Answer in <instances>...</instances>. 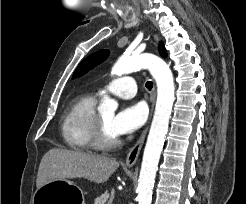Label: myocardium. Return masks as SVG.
<instances>
[{"label": "myocardium", "mask_w": 246, "mask_h": 204, "mask_svg": "<svg viewBox=\"0 0 246 204\" xmlns=\"http://www.w3.org/2000/svg\"><path fill=\"white\" fill-rule=\"evenodd\" d=\"M120 143L118 137L111 139L106 136L102 119L99 114H96L91 131L92 146L99 150H111L117 148Z\"/></svg>", "instance_id": "f54148a6"}]
</instances>
